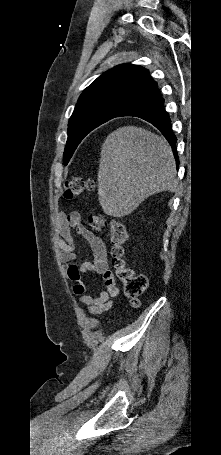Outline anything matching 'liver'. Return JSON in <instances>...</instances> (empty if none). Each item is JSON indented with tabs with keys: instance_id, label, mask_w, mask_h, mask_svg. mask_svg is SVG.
Instances as JSON below:
<instances>
[{
	"instance_id": "6515ba94",
	"label": "liver",
	"mask_w": 221,
	"mask_h": 455,
	"mask_svg": "<svg viewBox=\"0 0 221 455\" xmlns=\"http://www.w3.org/2000/svg\"><path fill=\"white\" fill-rule=\"evenodd\" d=\"M176 163L163 137L123 126L102 144L98 170L99 203L105 214L124 217L149 196L174 190Z\"/></svg>"
}]
</instances>
